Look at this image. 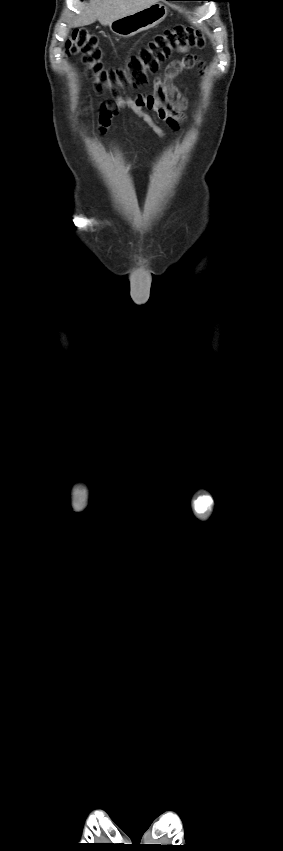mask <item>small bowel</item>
<instances>
[{
	"mask_svg": "<svg viewBox=\"0 0 283 851\" xmlns=\"http://www.w3.org/2000/svg\"><path fill=\"white\" fill-rule=\"evenodd\" d=\"M178 50L187 53L189 48ZM197 63L200 64L193 55L179 61H173L162 74L155 78L154 89L151 93L140 94L135 98L121 97L115 102L104 104L98 120L99 135H104L107 132L112 118L118 114L119 109L124 108L133 111L161 139L165 137L164 131L146 110L154 111L157 117L169 128L177 130L184 119V111L188 109V102L175 87L173 80L183 69Z\"/></svg>",
	"mask_w": 283,
	"mask_h": 851,
	"instance_id": "c3829d8e",
	"label": "small bowel"
}]
</instances>
